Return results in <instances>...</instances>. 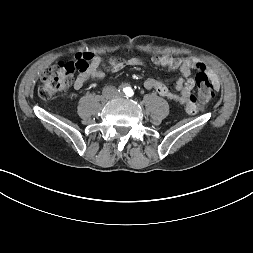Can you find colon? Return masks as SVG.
Returning a JSON list of instances; mask_svg holds the SVG:
<instances>
[{
  "label": "colon",
  "instance_id": "obj_1",
  "mask_svg": "<svg viewBox=\"0 0 253 253\" xmlns=\"http://www.w3.org/2000/svg\"><path fill=\"white\" fill-rule=\"evenodd\" d=\"M92 54L84 53L78 55L74 61L58 62L48 68L42 78L38 88V95L42 99H51L58 92L67 88L75 74H82L87 71ZM198 73L195 77V84L199 90L198 99L204 105L210 98L213 84L205 73L204 66L197 64Z\"/></svg>",
  "mask_w": 253,
  "mask_h": 253
}]
</instances>
